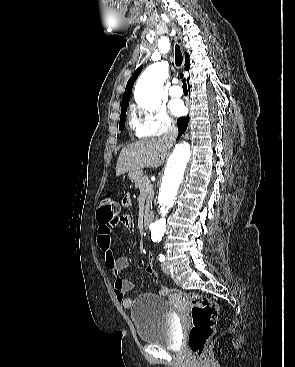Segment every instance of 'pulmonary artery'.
<instances>
[{
	"label": "pulmonary artery",
	"mask_w": 295,
	"mask_h": 367,
	"mask_svg": "<svg viewBox=\"0 0 295 367\" xmlns=\"http://www.w3.org/2000/svg\"><path fill=\"white\" fill-rule=\"evenodd\" d=\"M169 94L172 96V97H181L182 94H183V91L181 89V87L177 84H174L171 86V88L169 89Z\"/></svg>",
	"instance_id": "pulmonary-artery-1"
}]
</instances>
